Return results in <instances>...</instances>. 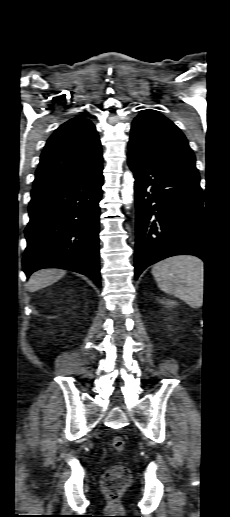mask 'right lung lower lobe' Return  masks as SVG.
<instances>
[{
    "label": "right lung lower lobe",
    "instance_id": "1",
    "mask_svg": "<svg viewBox=\"0 0 230 517\" xmlns=\"http://www.w3.org/2000/svg\"><path fill=\"white\" fill-rule=\"evenodd\" d=\"M102 166L55 185L33 188L23 270L62 268L90 277L100 286L99 201Z\"/></svg>",
    "mask_w": 230,
    "mask_h": 517
}]
</instances>
